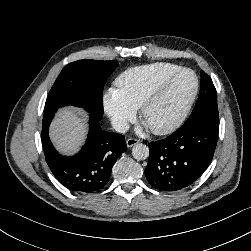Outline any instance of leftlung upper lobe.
<instances>
[{
  "label": "left lung upper lobe",
  "instance_id": "5c2ea615",
  "mask_svg": "<svg viewBox=\"0 0 251 251\" xmlns=\"http://www.w3.org/2000/svg\"><path fill=\"white\" fill-rule=\"evenodd\" d=\"M200 118L219 120L217 92L211 78L204 71H201V88L196 105L187 121Z\"/></svg>",
  "mask_w": 251,
  "mask_h": 251
}]
</instances>
